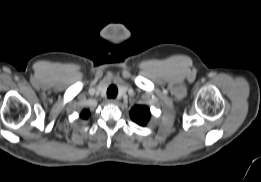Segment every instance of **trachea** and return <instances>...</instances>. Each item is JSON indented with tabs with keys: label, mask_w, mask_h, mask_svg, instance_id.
Instances as JSON below:
<instances>
[{
	"label": "trachea",
	"mask_w": 261,
	"mask_h": 182,
	"mask_svg": "<svg viewBox=\"0 0 261 182\" xmlns=\"http://www.w3.org/2000/svg\"><path fill=\"white\" fill-rule=\"evenodd\" d=\"M118 94V89L115 85L109 86L107 89V97L108 98H115Z\"/></svg>",
	"instance_id": "1"
}]
</instances>
